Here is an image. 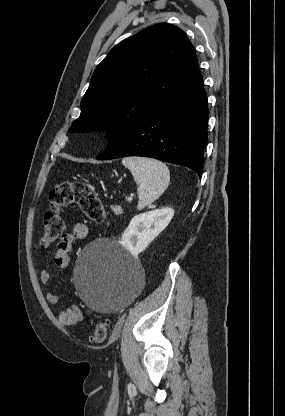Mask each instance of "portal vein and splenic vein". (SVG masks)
Returning a JSON list of instances; mask_svg holds the SVG:
<instances>
[{"label":"portal vein and splenic vein","instance_id":"1","mask_svg":"<svg viewBox=\"0 0 285 416\" xmlns=\"http://www.w3.org/2000/svg\"><path fill=\"white\" fill-rule=\"evenodd\" d=\"M129 202H131L132 198H128Z\"/></svg>","mask_w":285,"mask_h":416}]
</instances>
